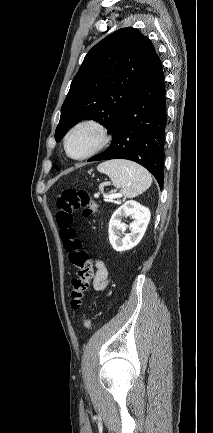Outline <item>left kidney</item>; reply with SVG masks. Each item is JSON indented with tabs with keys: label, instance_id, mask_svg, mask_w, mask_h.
<instances>
[{
	"label": "left kidney",
	"instance_id": "left-kidney-1",
	"mask_svg": "<svg viewBox=\"0 0 213 433\" xmlns=\"http://www.w3.org/2000/svg\"><path fill=\"white\" fill-rule=\"evenodd\" d=\"M150 210L134 200L126 201L112 215L109 222V241L118 252L130 250L143 238L150 221ZM130 217L133 221L126 226L121 221ZM129 228L131 233L121 237V233Z\"/></svg>",
	"mask_w": 213,
	"mask_h": 433
}]
</instances>
